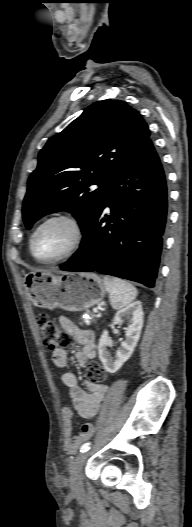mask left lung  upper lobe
<instances>
[{
  "label": "left lung upper lobe",
  "mask_w": 192,
  "mask_h": 527,
  "mask_svg": "<svg viewBox=\"0 0 192 527\" xmlns=\"http://www.w3.org/2000/svg\"><path fill=\"white\" fill-rule=\"evenodd\" d=\"M141 115L121 100H102L51 137L38 155L23 202L27 229L68 211L86 231L114 179L150 140ZM98 185V188H90Z\"/></svg>",
  "instance_id": "1"
}]
</instances>
